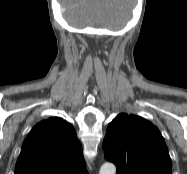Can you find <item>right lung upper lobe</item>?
I'll return each mask as SVG.
<instances>
[{"label": "right lung upper lobe", "mask_w": 187, "mask_h": 174, "mask_svg": "<svg viewBox=\"0 0 187 174\" xmlns=\"http://www.w3.org/2000/svg\"><path fill=\"white\" fill-rule=\"evenodd\" d=\"M15 174H88L72 125L58 117L35 125L23 143Z\"/></svg>", "instance_id": "1"}]
</instances>
